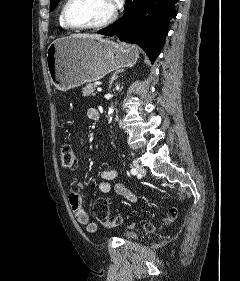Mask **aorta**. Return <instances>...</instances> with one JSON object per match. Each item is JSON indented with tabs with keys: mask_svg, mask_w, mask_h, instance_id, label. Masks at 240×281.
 <instances>
[{
	"mask_svg": "<svg viewBox=\"0 0 240 281\" xmlns=\"http://www.w3.org/2000/svg\"><path fill=\"white\" fill-rule=\"evenodd\" d=\"M112 113H113V107H110V108H109V111H108V114L111 115ZM111 119H112V118L110 117V121H111Z\"/></svg>",
	"mask_w": 240,
	"mask_h": 281,
	"instance_id": "obj_1",
	"label": "aorta"
}]
</instances>
